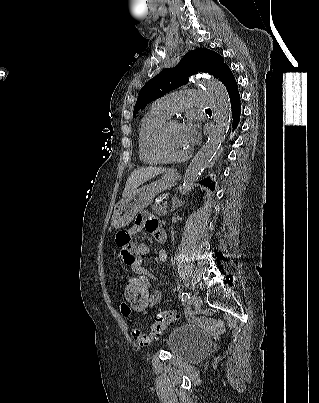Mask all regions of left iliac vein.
I'll list each match as a JSON object with an SVG mask.
<instances>
[{
    "mask_svg": "<svg viewBox=\"0 0 319 403\" xmlns=\"http://www.w3.org/2000/svg\"><path fill=\"white\" fill-rule=\"evenodd\" d=\"M191 303L194 306L195 310L198 311L202 305L201 297L197 293H194L192 296Z\"/></svg>",
    "mask_w": 319,
    "mask_h": 403,
    "instance_id": "obj_1",
    "label": "left iliac vein"
}]
</instances>
